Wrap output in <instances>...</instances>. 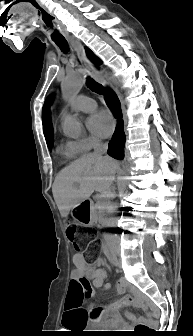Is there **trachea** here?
<instances>
[{"instance_id": "3493384b", "label": "trachea", "mask_w": 193, "mask_h": 336, "mask_svg": "<svg viewBox=\"0 0 193 336\" xmlns=\"http://www.w3.org/2000/svg\"><path fill=\"white\" fill-rule=\"evenodd\" d=\"M56 45L64 52L67 53L69 51L68 42L66 40H58L55 41ZM86 84L90 90L96 92L98 94H104V89L101 84L93 80L92 78H88Z\"/></svg>"}]
</instances>
